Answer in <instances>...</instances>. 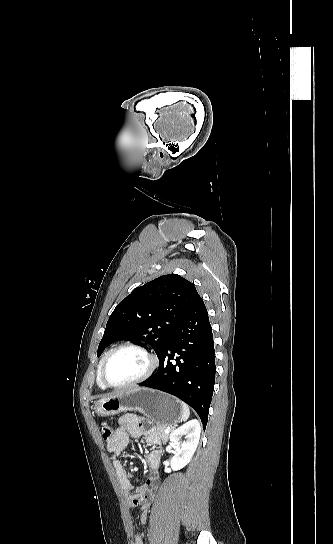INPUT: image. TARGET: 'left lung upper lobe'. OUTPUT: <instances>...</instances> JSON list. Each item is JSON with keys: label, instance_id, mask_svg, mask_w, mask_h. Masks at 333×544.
Returning <instances> with one entry per match:
<instances>
[{"label": "left lung upper lobe", "instance_id": "obj_1", "mask_svg": "<svg viewBox=\"0 0 333 544\" xmlns=\"http://www.w3.org/2000/svg\"><path fill=\"white\" fill-rule=\"evenodd\" d=\"M200 298L193 283L177 274L137 287L109 317L97 356L115 341L139 340L162 353L184 315Z\"/></svg>", "mask_w": 333, "mask_h": 544}]
</instances>
